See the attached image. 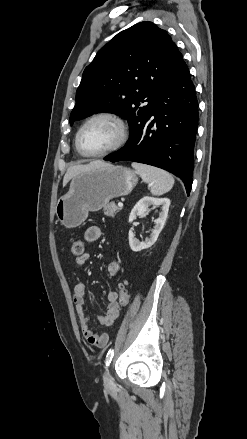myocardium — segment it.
Returning a JSON list of instances; mask_svg holds the SVG:
<instances>
[{
    "mask_svg": "<svg viewBox=\"0 0 247 439\" xmlns=\"http://www.w3.org/2000/svg\"><path fill=\"white\" fill-rule=\"evenodd\" d=\"M97 119H109L111 121H113L119 130V136L117 141L115 142V144H113L111 147H109L108 149L101 151V152H97V153H87L83 150L82 146H81V135L84 131V129L94 120ZM129 127L127 122L125 121V119L113 112H99L96 114H93L92 116H90L79 128L77 134H76V139H75V144H76V148L79 151V153L82 156L85 157H90V158H96V157H103L105 155H108L112 152L117 151L118 149H120L121 147H123L126 142L129 139Z\"/></svg>",
    "mask_w": 247,
    "mask_h": 439,
    "instance_id": "myocardium-1",
    "label": "myocardium"
}]
</instances>
